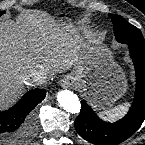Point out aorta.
I'll list each match as a JSON object with an SVG mask.
<instances>
[{
	"instance_id": "aorta-1",
	"label": "aorta",
	"mask_w": 145,
	"mask_h": 145,
	"mask_svg": "<svg viewBox=\"0 0 145 145\" xmlns=\"http://www.w3.org/2000/svg\"><path fill=\"white\" fill-rule=\"evenodd\" d=\"M57 100L60 106L71 114H78L81 110V102L76 94L69 90L61 91Z\"/></svg>"
}]
</instances>
